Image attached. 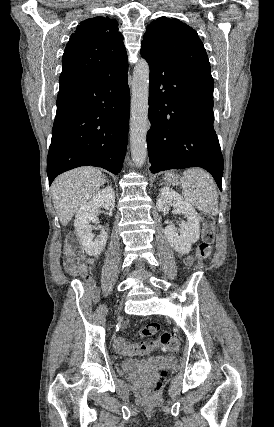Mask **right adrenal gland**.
Returning a JSON list of instances; mask_svg holds the SVG:
<instances>
[{"label": "right adrenal gland", "instance_id": "obj_1", "mask_svg": "<svg viewBox=\"0 0 274 427\" xmlns=\"http://www.w3.org/2000/svg\"><path fill=\"white\" fill-rule=\"evenodd\" d=\"M106 182H108V184H110V180H106Z\"/></svg>", "mask_w": 274, "mask_h": 427}]
</instances>
